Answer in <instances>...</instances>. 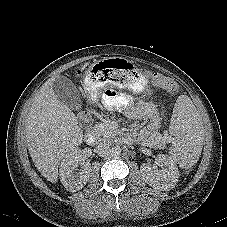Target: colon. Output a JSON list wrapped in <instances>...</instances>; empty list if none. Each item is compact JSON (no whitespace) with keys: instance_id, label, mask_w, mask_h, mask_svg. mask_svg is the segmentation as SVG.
I'll return each mask as SVG.
<instances>
[{"instance_id":"colon-1","label":"colon","mask_w":227,"mask_h":227,"mask_svg":"<svg viewBox=\"0 0 227 227\" xmlns=\"http://www.w3.org/2000/svg\"><path fill=\"white\" fill-rule=\"evenodd\" d=\"M152 77L156 84L165 87L166 89H168L171 92L176 91L177 84L173 80L166 78L160 74H153ZM111 83H113V82H111ZM111 83H108V84H111ZM113 84H115V83H113ZM79 116H80V119L83 121H86L88 119L87 113H85V112H81Z\"/></svg>"}]
</instances>
